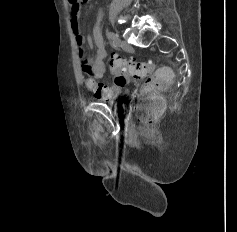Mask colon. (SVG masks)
<instances>
[{
  "instance_id": "1",
  "label": "colon",
  "mask_w": 237,
  "mask_h": 232,
  "mask_svg": "<svg viewBox=\"0 0 237 232\" xmlns=\"http://www.w3.org/2000/svg\"><path fill=\"white\" fill-rule=\"evenodd\" d=\"M88 0H70L80 4ZM114 88L124 87L128 77L143 80L135 107L137 120L143 126L152 125L164 109L161 93L173 80L169 68L155 69L152 62H139L120 55H113L109 62Z\"/></svg>"
}]
</instances>
